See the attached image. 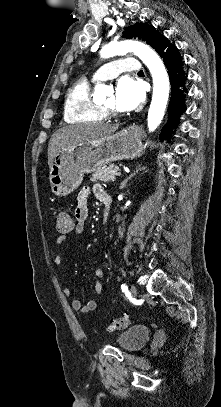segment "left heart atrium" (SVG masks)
Returning <instances> with one entry per match:
<instances>
[{"mask_svg": "<svg viewBox=\"0 0 221 407\" xmlns=\"http://www.w3.org/2000/svg\"><path fill=\"white\" fill-rule=\"evenodd\" d=\"M115 95L120 109L133 110L144 101L145 91L139 81L124 76L117 81Z\"/></svg>", "mask_w": 221, "mask_h": 407, "instance_id": "1", "label": "left heart atrium"}]
</instances>
